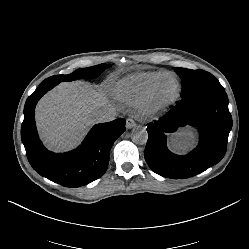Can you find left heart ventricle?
Segmentation results:
<instances>
[{"label":"left heart ventricle","instance_id":"1","mask_svg":"<svg viewBox=\"0 0 249 249\" xmlns=\"http://www.w3.org/2000/svg\"><path fill=\"white\" fill-rule=\"evenodd\" d=\"M176 80L169 79L163 82L157 90V98L159 100H165L171 98L176 91Z\"/></svg>","mask_w":249,"mask_h":249}]
</instances>
